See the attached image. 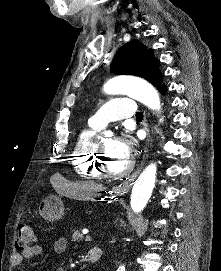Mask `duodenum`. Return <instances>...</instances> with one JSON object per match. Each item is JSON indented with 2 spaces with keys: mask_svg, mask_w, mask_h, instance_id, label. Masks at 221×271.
<instances>
[{
  "mask_svg": "<svg viewBox=\"0 0 221 271\" xmlns=\"http://www.w3.org/2000/svg\"><path fill=\"white\" fill-rule=\"evenodd\" d=\"M89 260L93 263V264H98L100 263L102 257H103V251L102 249L95 247L92 248L89 252Z\"/></svg>",
  "mask_w": 221,
  "mask_h": 271,
  "instance_id": "obj_1",
  "label": "duodenum"
}]
</instances>
